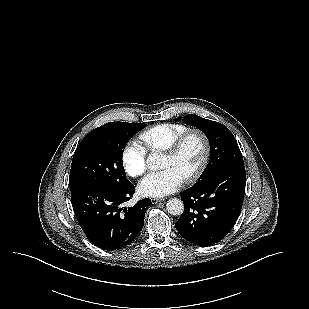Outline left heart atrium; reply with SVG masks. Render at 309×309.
Segmentation results:
<instances>
[{
  "mask_svg": "<svg viewBox=\"0 0 309 309\" xmlns=\"http://www.w3.org/2000/svg\"><path fill=\"white\" fill-rule=\"evenodd\" d=\"M182 177L173 169L150 173L138 185V192L145 197L161 198L178 190Z\"/></svg>",
  "mask_w": 309,
  "mask_h": 309,
  "instance_id": "39dd6f15",
  "label": "left heart atrium"
}]
</instances>
